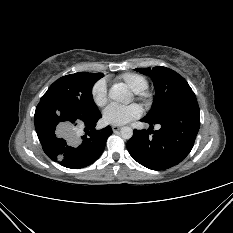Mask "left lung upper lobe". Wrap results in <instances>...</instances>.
Segmentation results:
<instances>
[{
    "instance_id": "left-lung-upper-lobe-1",
    "label": "left lung upper lobe",
    "mask_w": 233,
    "mask_h": 233,
    "mask_svg": "<svg viewBox=\"0 0 233 233\" xmlns=\"http://www.w3.org/2000/svg\"><path fill=\"white\" fill-rule=\"evenodd\" d=\"M136 71L150 75L156 89V98L149 113L144 117L154 122L167 114L180 100L193 91L187 81L175 71L157 66L153 69H135Z\"/></svg>"
}]
</instances>
